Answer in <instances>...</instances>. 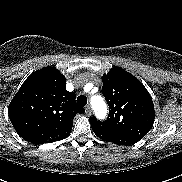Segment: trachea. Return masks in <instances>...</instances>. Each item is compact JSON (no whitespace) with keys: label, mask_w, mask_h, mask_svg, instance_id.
<instances>
[{"label":"trachea","mask_w":182,"mask_h":182,"mask_svg":"<svg viewBox=\"0 0 182 182\" xmlns=\"http://www.w3.org/2000/svg\"><path fill=\"white\" fill-rule=\"evenodd\" d=\"M77 104L81 107H84L87 104V98L84 95L77 97Z\"/></svg>","instance_id":"obj_1"}]
</instances>
